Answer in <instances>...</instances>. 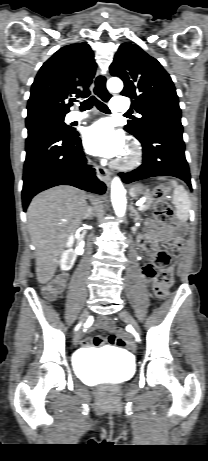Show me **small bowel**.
Returning a JSON list of instances; mask_svg holds the SVG:
<instances>
[{
    "label": "small bowel",
    "instance_id": "1",
    "mask_svg": "<svg viewBox=\"0 0 208 461\" xmlns=\"http://www.w3.org/2000/svg\"><path fill=\"white\" fill-rule=\"evenodd\" d=\"M173 230V225H160V227L157 228L155 224L150 221L146 225L145 233L139 238V244L148 254L153 256L155 259L158 253L161 252V244L168 243L172 240L174 236ZM152 262L147 263L143 267V275L147 280H150L156 272L157 267ZM65 279L66 275L64 274L58 277V280L62 282H64ZM96 328L112 330L113 325L109 319H103L96 325ZM106 342L108 344L107 348L109 351H122V348L119 346L121 344V337L117 336L115 332H109L107 334ZM102 343L103 339L100 337H96L94 339L85 338L82 340L83 346H88L91 344L98 346Z\"/></svg>",
    "mask_w": 208,
    "mask_h": 461
}]
</instances>
